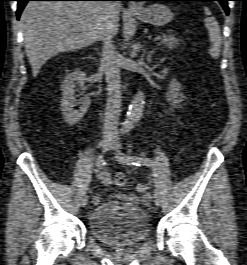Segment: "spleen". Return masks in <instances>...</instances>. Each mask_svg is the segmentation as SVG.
<instances>
[{
	"label": "spleen",
	"mask_w": 247,
	"mask_h": 265,
	"mask_svg": "<svg viewBox=\"0 0 247 265\" xmlns=\"http://www.w3.org/2000/svg\"><path fill=\"white\" fill-rule=\"evenodd\" d=\"M204 13L206 16H209L204 20V24L208 30L209 38L212 44L209 49V54L214 59H217L220 55V48L222 44L220 27L216 19L214 17H210L211 12L207 7L204 8Z\"/></svg>",
	"instance_id": "obj_1"
}]
</instances>
